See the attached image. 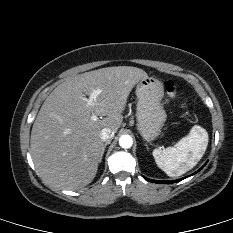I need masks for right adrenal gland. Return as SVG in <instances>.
<instances>
[{"label": "right adrenal gland", "mask_w": 233, "mask_h": 233, "mask_svg": "<svg viewBox=\"0 0 233 233\" xmlns=\"http://www.w3.org/2000/svg\"><path fill=\"white\" fill-rule=\"evenodd\" d=\"M108 144H110V142H107V143H105V145H104V149H103V151H102V153H101V157H100V160H99L100 162L102 161V157H103L105 148H106V146H107Z\"/></svg>", "instance_id": "right-adrenal-gland-1"}]
</instances>
